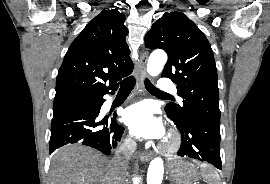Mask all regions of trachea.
Instances as JSON below:
<instances>
[{
    "label": "trachea",
    "mask_w": 270,
    "mask_h": 184,
    "mask_svg": "<svg viewBox=\"0 0 270 184\" xmlns=\"http://www.w3.org/2000/svg\"><path fill=\"white\" fill-rule=\"evenodd\" d=\"M135 82L136 81H135L134 77H128V78L124 79L120 83V86H121L120 91H131L134 88ZM145 87L151 93L169 96L168 94L161 92L159 89L154 87L153 84L148 79L145 80Z\"/></svg>",
    "instance_id": "obj_1"
}]
</instances>
